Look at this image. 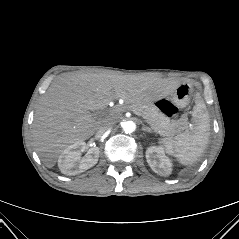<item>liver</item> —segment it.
<instances>
[{"label":"liver","instance_id":"obj_1","mask_svg":"<svg viewBox=\"0 0 239 239\" xmlns=\"http://www.w3.org/2000/svg\"><path fill=\"white\" fill-rule=\"evenodd\" d=\"M176 82L155 77L106 73H68L52 82L37 106L33 122L36 151L48 168L62 152L77 142L90 138L108 119L92 117L117 99L126 104H144L167 95Z\"/></svg>","mask_w":239,"mask_h":239}]
</instances>
